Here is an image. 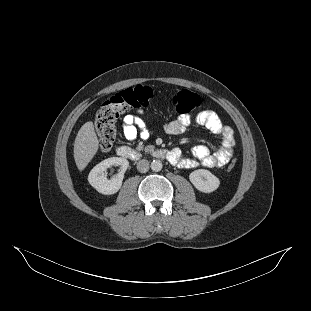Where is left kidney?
Segmentation results:
<instances>
[{
    "mask_svg": "<svg viewBox=\"0 0 311 311\" xmlns=\"http://www.w3.org/2000/svg\"><path fill=\"white\" fill-rule=\"evenodd\" d=\"M191 183L201 192L210 193L216 190L219 185V179L210 171L198 169L189 175Z\"/></svg>",
    "mask_w": 311,
    "mask_h": 311,
    "instance_id": "5707ae66",
    "label": "left kidney"
}]
</instances>
